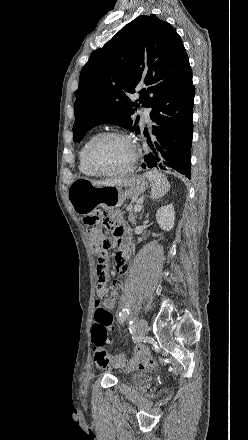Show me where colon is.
Masks as SVG:
<instances>
[{
  "label": "colon",
  "instance_id": "obj_1",
  "mask_svg": "<svg viewBox=\"0 0 248 440\" xmlns=\"http://www.w3.org/2000/svg\"><path fill=\"white\" fill-rule=\"evenodd\" d=\"M103 221L104 214L99 211L85 218V223L90 227V238L98 259L100 257H107L108 250L113 244L112 238L99 227ZM99 302L98 299L95 301V322L92 327L93 342L96 346L95 361L102 367L107 365L120 366L125 361L123 355L119 354L115 357H111L104 349V346L109 342L108 333L113 326V316L107 309L102 307Z\"/></svg>",
  "mask_w": 248,
  "mask_h": 440
}]
</instances>
